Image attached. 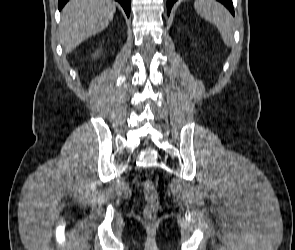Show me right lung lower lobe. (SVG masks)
I'll list each match as a JSON object with an SVG mask.
<instances>
[{
    "instance_id": "right-lung-lower-lobe-1",
    "label": "right lung lower lobe",
    "mask_w": 295,
    "mask_h": 250,
    "mask_svg": "<svg viewBox=\"0 0 295 250\" xmlns=\"http://www.w3.org/2000/svg\"><path fill=\"white\" fill-rule=\"evenodd\" d=\"M69 0H59L58 1V8L61 10L63 6L68 2ZM121 4L123 9L125 10L127 16L129 17L130 15V8H131V0H116Z\"/></svg>"
}]
</instances>
